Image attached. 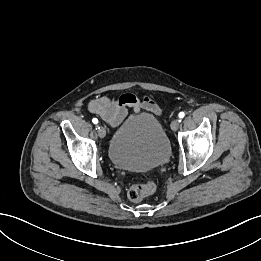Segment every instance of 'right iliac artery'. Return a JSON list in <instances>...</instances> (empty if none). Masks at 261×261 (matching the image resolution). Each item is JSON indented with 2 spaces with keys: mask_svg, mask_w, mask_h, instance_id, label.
<instances>
[{
  "mask_svg": "<svg viewBox=\"0 0 261 261\" xmlns=\"http://www.w3.org/2000/svg\"><path fill=\"white\" fill-rule=\"evenodd\" d=\"M92 122H93L94 124H98V119H97V118H93V119H92ZM96 129H98V126H97Z\"/></svg>",
  "mask_w": 261,
  "mask_h": 261,
  "instance_id": "right-iliac-artery-1",
  "label": "right iliac artery"
}]
</instances>
